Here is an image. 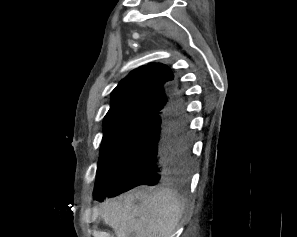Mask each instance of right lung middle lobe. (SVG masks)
<instances>
[{"label": "right lung middle lobe", "mask_w": 297, "mask_h": 237, "mask_svg": "<svg viewBox=\"0 0 297 237\" xmlns=\"http://www.w3.org/2000/svg\"><path fill=\"white\" fill-rule=\"evenodd\" d=\"M151 118L129 117L104 124V134L96 174L94 194L113 188L118 183L121 168Z\"/></svg>", "instance_id": "dd1d6c3e"}]
</instances>
